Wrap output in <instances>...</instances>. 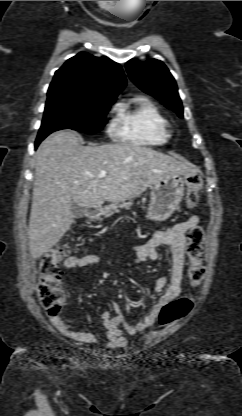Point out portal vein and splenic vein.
Instances as JSON below:
<instances>
[{
	"label": "portal vein and splenic vein",
	"mask_w": 242,
	"mask_h": 416,
	"mask_svg": "<svg viewBox=\"0 0 242 416\" xmlns=\"http://www.w3.org/2000/svg\"><path fill=\"white\" fill-rule=\"evenodd\" d=\"M106 171H100L96 176H94L97 179L104 178L106 176Z\"/></svg>",
	"instance_id": "1"
}]
</instances>
